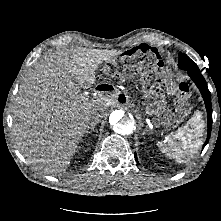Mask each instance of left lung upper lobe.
I'll return each instance as SVG.
<instances>
[{
  "label": "left lung upper lobe",
  "instance_id": "obj_1",
  "mask_svg": "<svg viewBox=\"0 0 221 221\" xmlns=\"http://www.w3.org/2000/svg\"><path fill=\"white\" fill-rule=\"evenodd\" d=\"M178 66L186 71H197L198 66L185 54L179 53Z\"/></svg>",
  "mask_w": 221,
  "mask_h": 221
}]
</instances>
